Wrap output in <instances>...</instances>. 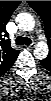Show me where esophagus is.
<instances>
[{
	"mask_svg": "<svg viewBox=\"0 0 51 101\" xmlns=\"http://www.w3.org/2000/svg\"><path fill=\"white\" fill-rule=\"evenodd\" d=\"M34 46H35V43H32V44L28 45L27 47L33 48Z\"/></svg>",
	"mask_w": 51,
	"mask_h": 101,
	"instance_id": "1",
	"label": "esophagus"
}]
</instances>
